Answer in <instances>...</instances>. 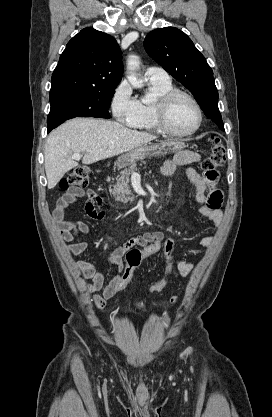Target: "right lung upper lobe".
I'll use <instances>...</instances> for the list:
<instances>
[{
	"label": "right lung upper lobe",
	"mask_w": 272,
	"mask_h": 417,
	"mask_svg": "<svg viewBox=\"0 0 272 417\" xmlns=\"http://www.w3.org/2000/svg\"><path fill=\"white\" fill-rule=\"evenodd\" d=\"M120 48L112 36L84 28L67 44L51 79L50 93L105 91L122 79Z\"/></svg>",
	"instance_id": "cb5924a9"
}]
</instances>
